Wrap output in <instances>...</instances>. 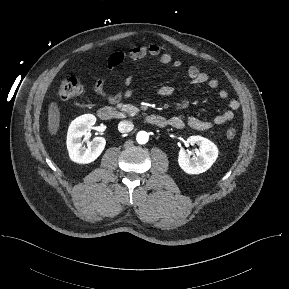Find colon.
Returning <instances> with one entry per match:
<instances>
[{
	"label": "colon",
	"instance_id": "colon-1",
	"mask_svg": "<svg viewBox=\"0 0 289 289\" xmlns=\"http://www.w3.org/2000/svg\"><path fill=\"white\" fill-rule=\"evenodd\" d=\"M83 85L73 75H65L58 86L57 96L62 100H67L80 96L83 93ZM237 131L235 128L230 127L226 130V137L232 140L236 137Z\"/></svg>",
	"mask_w": 289,
	"mask_h": 289
}]
</instances>
